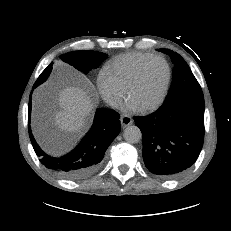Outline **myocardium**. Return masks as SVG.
I'll list each match as a JSON object with an SVG mask.
<instances>
[{
    "mask_svg": "<svg viewBox=\"0 0 231 231\" xmlns=\"http://www.w3.org/2000/svg\"><path fill=\"white\" fill-rule=\"evenodd\" d=\"M153 60H160L164 63V65L166 67V79H165L163 88H162L158 98L154 102H152V103H150L144 107H141L140 109L142 111H152L161 105L164 98L166 97V94H167V91L169 88V84H170V80H171V69H170V66H169L168 62L166 61V59L161 57V56H157V55L151 56L138 67L136 73L134 74L133 78L129 82V84L126 88L127 97L130 96L132 90L140 81L142 74H143V71L146 68V66Z\"/></svg>",
    "mask_w": 231,
    "mask_h": 231,
    "instance_id": "obj_1",
    "label": "myocardium"
}]
</instances>
